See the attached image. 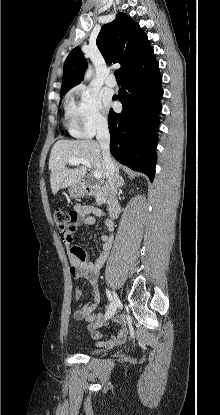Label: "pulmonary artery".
I'll use <instances>...</instances> for the list:
<instances>
[{"mask_svg": "<svg viewBox=\"0 0 220 415\" xmlns=\"http://www.w3.org/2000/svg\"><path fill=\"white\" fill-rule=\"evenodd\" d=\"M105 83L109 87H115L117 85V81L113 74H109L105 80Z\"/></svg>", "mask_w": 220, "mask_h": 415, "instance_id": "pulmonary-artery-1", "label": "pulmonary artery"}]
</instances>
